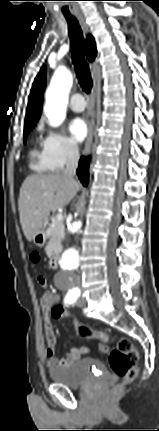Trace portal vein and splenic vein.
Listing matches in <instances>:
<instances>
[{
  "label": "portal vein and splenic vein",
  "instance_id": "1",
  "mask_svg": "<svg viewBox=\"0 0 159 431\" xmlns=\"http://www.w3.org/2000/svg\"><path fill=\"white\" fill-rule=\"evenodd\" d=\"M55 220L56 221H62L63 220V215L62 214H57Z\"/></svg>",
  "mask_w": 159,
  "mask_h": 431
}]
</instances>
